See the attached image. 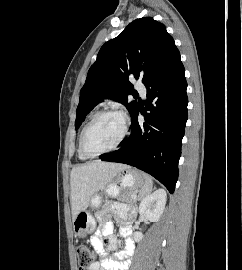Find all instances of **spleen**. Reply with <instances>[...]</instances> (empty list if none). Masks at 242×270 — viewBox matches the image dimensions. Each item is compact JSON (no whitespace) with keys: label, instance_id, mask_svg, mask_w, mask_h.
Returning a JSON list of instances; mask_svg holds the SVG:
<instances>
[{"label":"spleen","instance_id":"3e777b00","mask_svg":"<svg viewBox=\"0 0 242 270\" xmlns=\"http://www.w3.org/2000/svg\"><path fill=\"white\" fill-rule=\"evenodd\" d=\"M143 177L145 179V184L139 193L140 198H144L145 196L150 194V192L152 191V187H153L152 178L147 174H143Z\"/></svg>","mask_w":242,"mask_h":270}]
</instances>
